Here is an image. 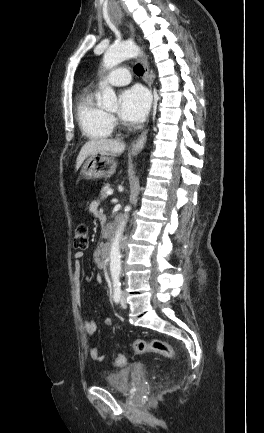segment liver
I'll return each mask as SVG.
<instances>
[{"label": "liver", "instance_id": "obj_1", "mask_svg": "<svg viewBox=\"0 0 264 433\" xmlns=\"http://www.w3.org/2000/svg\"><path fill=\"white\" fill-rule=\"evenodd\" d=\"M125 150V143L114 139H92L81 148L76 160V170L80 168L84 160L94 154L120 155Z\"/></svg>", "mask_w": 264, "mask_h": 433}]
</instances>
